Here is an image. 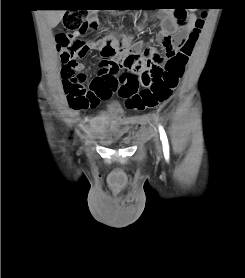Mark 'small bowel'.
<instances>
[{"mask_svg":"<svg viewBox=\"0 0 245 278\" xmlns=\"http://www.w3.org/2000/svg\"><path fill=\"white\" fill-rule=\"evenodd\" d=\"M155 16L160 19V28L155 35V41L165 49L166 56L169 57L178 52L177 43L186 38V36L195 28V17L188 15L182 18L172 16L164 8H158ZM83 35L82 31L76 32L71 39H78ZM88 49L100 50L104 61L101 63L102 73L94 78L96 92L100 95L99 101L107 100L112 96L108 78L114 75L119 67L117 63L118 54L121 55V65L126 71L139 70L146 68L147 62L155 64L156 52L154 46H146L143 48V54L149 57L148 60L140 58L136 53L128 50V41H116L112 38H103L92 40L87 44ZM162 66V64H160ZM84 66L76 62L72 67L73 71H82ZM65 85V81L63 80ZM150 118L148 116L133 117L127 122L147 124ZM108 121L105 117H98L89 126V132L92 135L100 136L101 132L107 127Z\"/></svg>","mask_w":245,"mask_h":278,"instance_id":"c3829d8e","label":"small bowel"}]
</instances>
